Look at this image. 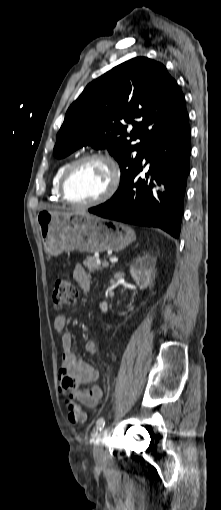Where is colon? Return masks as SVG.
Segmentation results:
<instances>
[{
	"label": "colon",
	"mask_w": 221,
	"mask_h": 510,
	"mask_svg": "<svg viewBox=\"0 0 221 510\" xmlns=\"http://www.w3.org/2000/svg\"><path fill=\"white\" fill-rule=\"evenodd\" d=\"M78 297V290L69 277L59 276L56 278L53 286V306L60 310L74 302ZM65 406L68 410V419L73 424H82L86 420V415L80 404L71 398L65 400Z\"/></svg>",
	"instance_id": "colon-1"
}]
</instances>
